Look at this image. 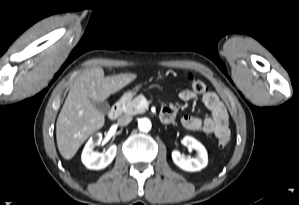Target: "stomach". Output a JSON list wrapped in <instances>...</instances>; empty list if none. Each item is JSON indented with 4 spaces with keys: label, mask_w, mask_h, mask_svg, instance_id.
Returning <instances> with one entry per match:
<instances>
[{
    "label": "stomach",
    "mask_w": 299,
    "mask_h": 205,
    "mask_svg": "<svg viewBox=\"0 0 299 205\" xmlns=\"http://www.w3.org/2000/svg\"><path fill=\"white\" fill-rule=\"evenodd\" d=\"M169 72H166V73H159L158 75V78L159 79H164L166 76H168ZM141 86H138L136 89L134 90H130V91H127L126 93H124L123 95V99L125 100H128V99H131L135 93L140 89Z\"/></svg>",
    "instance_id": "stomach-1"
}]
</instances>
